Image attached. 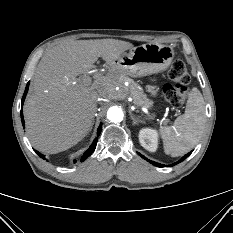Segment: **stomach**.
<instances>
[{
    "instance_id": "1",
    "label": "stomach",
    "mask_w": 233,
    "mask_h": 233,
    "mask_svg": "<svg viewBox=\"0 0 233 233\" xmlns=\"http://www.w3.org/2000/svg\"><path fill=\"white\" fill-rule=\"evenodd\" d=\"M174 57L171 46L148 43L123 53L111 67L132 77H141L159 73L168 68Z\"/></svg>"
}]
</instances>
